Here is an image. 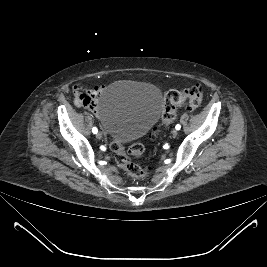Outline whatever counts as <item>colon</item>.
Here are the masks:
<instances>
[{
    "label": "colon",
    "mask_w": 267,
    "mask_h": 267,
    "mask_svg": "<svg viewBox=\"0 0 267 267\" xmlns=\"http://www.w3.org/2000/svg\"><path fill=\"white\" fill-rule=\"evenodd\" d=\"M203 101V90L200 85H193L181 90L171 89L166 92L164 97V106L162 110L163 125L171 124L176 116L177 109L186 106L188 110L195 111L200 107ZM159 130L155 129L151 137L155 138ZM112 149L115 153L117 166L129 177L133 179H143L148 176L149 171L132 161V158L139 159L144 154V146L140 143H133L127 149L120 143H113Z\"/></svg>",
    "instance_id": "colon-1"
}]
</instances>
